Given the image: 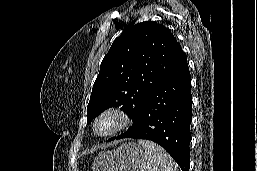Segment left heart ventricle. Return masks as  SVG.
I'll use <instances>...</instances> for the list:
<instances>
[{"label":"left heart ventricle","mask_w":257,"mask_h":171,"mask_svg":"<svg viewBox=\"0 0 257 171\" xmlns=\"http://www.w3.org/2000/svg\"><path fill=\"white\" fill-rule=\"evenodd\" d=\"M114 123H115L114 119L106 118L98 124L97 129L99 132L108 131L114 126Z\"/></svg>","instance_id":"b2bd125f"}]
</instances>
